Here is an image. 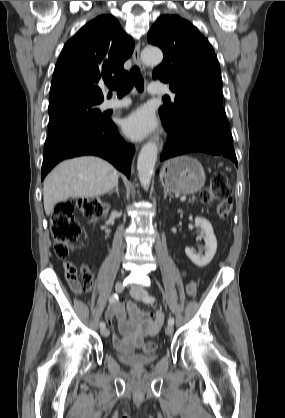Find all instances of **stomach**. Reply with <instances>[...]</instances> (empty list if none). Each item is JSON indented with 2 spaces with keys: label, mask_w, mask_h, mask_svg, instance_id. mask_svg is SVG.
<instances>
[{
  "label": "stomach",
  "mask_w": 285,
  "mask_h": 418,
  "mask_svg": "<svg viewBox=\"0 0 285 418\" xmlns=\"http://www.w3.org/2000/svg\"><path fill=\"white\" fill-rule=\"evenodd\" d=\"M160 179L163 187L168 191L192 194L203 187L205 173L197 160L189 156H181L167 161L162 166Z\"/></svg>",
  "instance_id": "0dacf381"
}]
</instances>
